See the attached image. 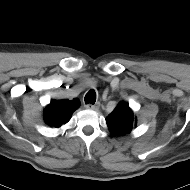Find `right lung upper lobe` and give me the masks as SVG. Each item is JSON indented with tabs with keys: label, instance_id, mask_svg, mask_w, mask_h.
Returning <instances> with one entry per match:
<instances>
[{
	"label": "right lung upper lobe",
	"instance_id": "cb5924a9",
	"mask_svg": "<svg viewBox=\"0 0 190 190\" xmlns=\"http://www.w3.org/2000/svg\"><path fill=\"white\" fill-rule=\"evenodd\" d=\"M79 106L80 101L77 98L73 100H53L43 111L44 120L49 126L58 128L69 121L72 113Z\"/></svg>",
	"mask_w": 190,
	"mask_h": 190
}]
</instances>
